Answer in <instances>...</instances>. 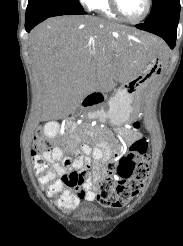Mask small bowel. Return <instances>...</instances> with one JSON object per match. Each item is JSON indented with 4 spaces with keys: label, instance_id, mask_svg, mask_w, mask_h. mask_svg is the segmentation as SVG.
I'll use <instances>...</instances> for the list:
<instances>
[{
    "label": "small bowel",
    "instance_id": "obj_1",
    "mask_svg": "<svg viewBox=\"0 0 183 246\" xmlns=\"http://www.w3.org/2000/svg\"><path fill=\"white\" fill-rule=\"evenodd\" d=\"M124 143L131 146L140 139L139 133L127 129H119ZM75 139H91L95 145L82 144L74 148L77 159L72 163L69 156L63 153L62 146H56L51 151L43 154V157L52 164L53 182L48 185L45 177L40 182L47 188L49 194H59V205L65 210L75 208L81 200L94 201L96 193L93 184L100 178L102 165L107 162L112 154L114 141L109 131L95 129L93 131L83 130ZM90 158L93 159L91 164ZM68 161L69 164H64ZM62 162V164H61ZM76 172V173H70ZM56 175L59 177L56 179ZM61 178H77L73 184H64Z\"/></svg>",
    "mask_w": 183,
    "mask_h": 246
}]
</instances>
